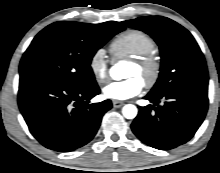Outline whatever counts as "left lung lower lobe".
<instances>
[{
	"label": "left lung lower lobe",
	"instance_id": "left-lung-lower-lobe-1",
	"mask_svg": "<svg viewBox=\"0 0 220 173\" xmlns=\"http://www.w3.org/2000/svg\"><path fill=\"white\" fill-rule=\"evenodd\" d=\"M154 103L140 107L131 124L133 133L145 144L170 150L189 141L202 124L208 108V91L180 88L161 95L148 93ZM165 100L158 106L160 100Z\"/></svg>",
	"mask_w": 220,
	"mask_h": 173
}]
</instances>
